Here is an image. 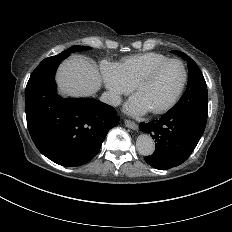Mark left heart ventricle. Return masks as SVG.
Returning <instances> with one entry per match:
<instances>
[{"label":"left heart ventricle","instance_id":"obj_1","mask_svg":"<svg viewBox=\"0 0 232 232\" xmlns=\"http://www.w3.org/2000/svg\"><path fill=\"white\" fill-rule=\"evenodd\" d=\"M183 81V71L179 64L169 63L162 67L151 79L144 82L136 94L150 108L156 110L168 104Z\"/></svg>","mask_w":232,"mask_h":232}]
</instances>
